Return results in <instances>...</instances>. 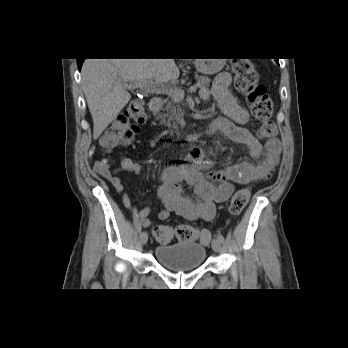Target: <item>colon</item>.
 <instances>
[{"instance_id": "1", "label": "colon", "mask_w": 348, "mask_h": 348, "mask_svg": "<svg viewBox=\"0 0 348 348\" xmlns=\"http://www.w3.org/2000/svg\"><path fill=\"white\" fill-rule=\"evenodd\" d=\"M234 84L242 93L250 107L254 118L260 122L257 135L260 139H269L275 133V125L272 122L273 101L268 95L264 85L258 81L256 70L250 59L238 58L232 62ZM147 116L141 101H134L128 106L125 113L120 115L103 133L100 144L105 149L128 144L137 132L139 125L146 122ZM250 198V192L241 188L234 193L229 205L232 216H238ZM154 239L161 243H168L173 237L181 242L199 240L203 244L211 241L212 235L208 230L182 224L175 229L166 225H155L152 228Z\"/></svg>"}]
</instances>
